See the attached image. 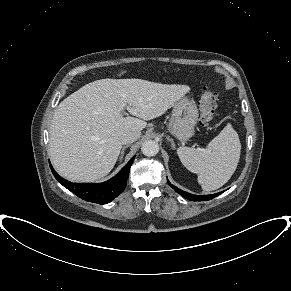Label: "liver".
Listing matches in <instances>:
<instances>
[{
    "label": "liver",
    "instance_id": "obj_1",
    "mask_svg": "<svg viewBox=\"0 0 291 291\" xmlns=\"http://www.w3.org/2000/svg\"><path fill=\"white\" fill-rule=\"evenodd\" d=\"M186 85L142 79H101L65 98L50 126L49 154L57 172L75 182L106 176L120 154L121 135L143 130L188 93ZM135 116H123L124 109ZM137 117V118H136Z\"/></svg>",
    "mask_w": 291,
    "mask_h": 291
}]
</instances>
